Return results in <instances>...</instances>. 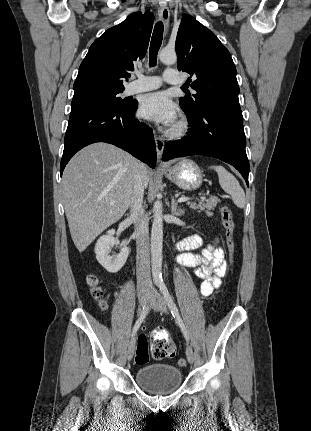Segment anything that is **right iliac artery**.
<instances>
[{"label": "right iliac artery", "mask_w": 311, "mask_h": 431, "mask_svg": "<svg viewBox=\"0 0 311 431\" xmlns=\"http://www.w3.org/2000/svg\"><path fill=\"white\" fill-rule=\"evenodd\" d=\"M149 311H150V308H149V305L147 304H145L144 306H143V308H142V311H141V313H140V316H139V318H138V320L136 321V323H135V325H134V327H133V331H132V334H131V336L132 337H134L135 335H136V333H137V331H138V329H139V327H140V325L142 324V322L144 321V319H145V317L147 316V314L149 313Z\"/></svg>", "instance_id": "1"}]
</instances>
